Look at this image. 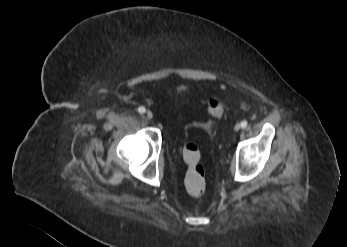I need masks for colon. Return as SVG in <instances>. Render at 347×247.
Here are the masks:
<instances>
[{"mask_svg":"<svg viewBox=\"0 0 347 247\" xmlns=\"http://www.w3.org/2000/svg\"><path fill=\"white\" fill-rule=\"evenodd\" d=\"M208 111L211 115L219 117L223 114V105L219 100L211 99L208 101ZM183 158L187 165L185 189L190 196L200 197L205 191L206 184L199 148L194 143H186L183 147Z\"/></svg>","mask_w":347,"mask_h":247,"instance_id":"obj_1","label":"colon"}]
</instances>
